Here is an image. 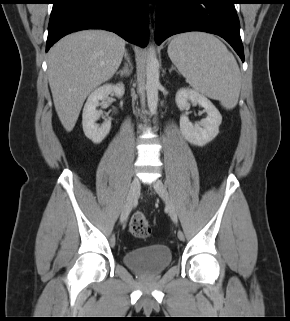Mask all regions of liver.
Returning <instances> with one entry per match:
<instances>
[{
    "mask_svg": "<svg viewBox=\"0 0 290 321\" xmlns=\"http://www.w3.org/2000/svg\"><path fill=\"white\" fill-rule=\"evenodd\" d=\"M125 41L105 30H83L63 37L48 53V80L57 115L73 130L87 96L119 68Z\"/></svg>",
    "mask_w": 290,
    "mask_h": 321,
    "instance_id": "6515ba94",
    "label": "liver"
}]
</instances>
